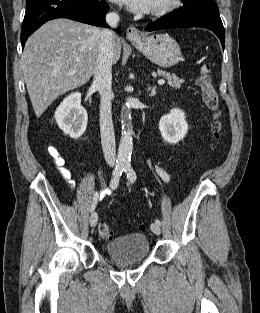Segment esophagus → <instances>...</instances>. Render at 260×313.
I'll return each mask as SVG.
<instances>
[{
	"label": "esophagus",
	"instance_id": "1",
	"mask_svg": "<svg viewBox=\"0 0 260 313\" xmlns=\"http://www.w3.org/2000/svg\"><path fill=\"white\" fill-rule=\"evenodd\" d=\"M126 36L128 40L134 42L139 41L142 38L140 30L134 26H129L126 31Z\"/></svg>",
	"mask_w": 260,
	"mask_h": 313
}]
</instances>
